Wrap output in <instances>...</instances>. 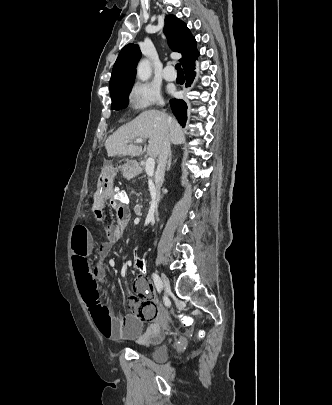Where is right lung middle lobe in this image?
I'll use <instances>...</instances> for the list:
<instances>
[{"instance_id": "dd1d6c3e", "label": "right lung middle lobe", "mask_w": 332, "mask_h": 405, "mask_svg": "<svg viewBox=\"0 0 332 405\" xmlns=\"http://www.w3.org/2000/svg\"><path fill=\"white\" fill-rule=\"evenodd\" d=\"M134 80L122 82L110 89L112 99L111 108L115 110L123 109L128 104V95L133 86Z\"/></svg>"}]
</instances>
